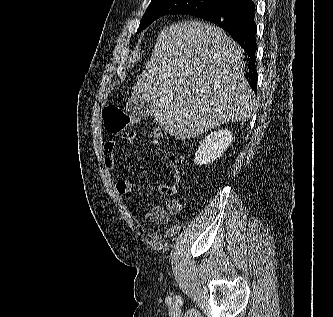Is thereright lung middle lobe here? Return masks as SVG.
<instances>
[{
    "mask_svg": "<svg viewBox=\"0 0 333 317\" xmlns=\"http://www.w3.org/2000/svg\"><path fill=\"white\" fill-rule=\"evenodd\" d=\"M229 3L227 0H151L143 15L137 32L144 30L161 16L168 14L195 15L200 12L213 10Z\"/></svg>",
    "mask_w": 333,
    "mask_h": 317,
    "instance_id": "dd1d6c3e",
    "label": "right lung middle lobe"
}]
</instances>
